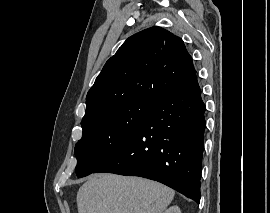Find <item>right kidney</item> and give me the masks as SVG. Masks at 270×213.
<instances>
[{
    "instance_id": "ca27d5eb",
    "label": "right kidney",
    "mask_w": 270,
    "mask_h": 213,
    "mask_svg": "<svg viewBox=\"0 0 270 213\" xmlns=\"http://www.w3.org/2000/svg\"><path fill=\"white\" fill-rule=\"evenodd\" d=\"M163 213H181V211L178 206H171L168 209H166Z\"/></svg>"
}]
</instances>
